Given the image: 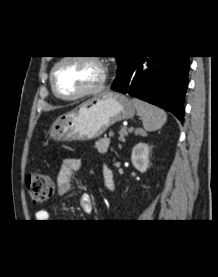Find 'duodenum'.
I'll return each mask as SVG.
<instances>
[{
	"instance_id": "duodenum-1",
	"label": "duodenum",
	"mask_w": 218,
	"mask_h": 277,
	"mask_svg": "<svg viewBox=\"0 0 218 277\" xmlns=\"http://www.w3.org/2000/svg\"><path fill=\"white\" fill-rule=\"evenodd\" d=\"M108 171L109 170H105L104 171V174H105V181H106V183H108V182H110V183H112V186H111V188L113 187V179H112V176H110L109 174H108Z\"/></svg>"
}]
</instances>
